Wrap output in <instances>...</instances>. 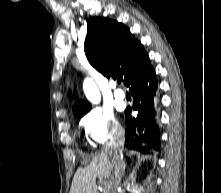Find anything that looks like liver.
Segmentation results:
<instances>
[{"mask_svg": "<svg viewBox=\"0 0 221 193\" xmlns=\"http://www.w3.org/2000/svg\"><path fill=\"white\" fill-rule=\"evenodd\" d=\"M113 154L108 149L92 156L88 166L78 168L72 180L70 193H96V178L109 179L113 175Z\"/></svg>", "mask_w": 221, "mask_h": 193, "instance_id": "6515ba94", "label": "liver"}]
</instances>
